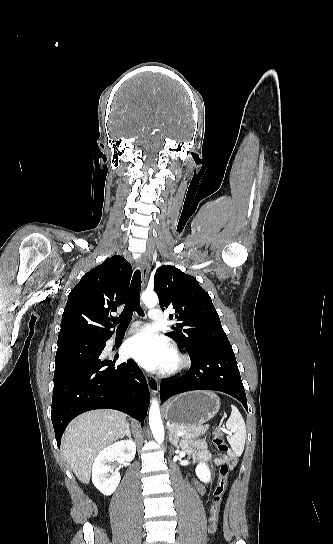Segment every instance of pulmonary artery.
I'll list each match as a JSON object with an SVG mask.
<instances>
[{
	"label": "pulmonary artery",
	"mask_w": 333,
	"mask_h": 544,
	"mask_svg": "<svg viewBox=\"0 0 333 544\" xmlns=\"http://www.w3.org/2000/svg\"><path fill=\"white\" fill-rule=\"evenodd\" d=\"M148 315L153 321H161L163 319V314L159 309H155V308L150 309ZM138 329H139V325L137 323L134 324L132 327V330H138Z\"/></svg>",
	"instance_id": "pulmonary-artery-1"
}]
</instances>
